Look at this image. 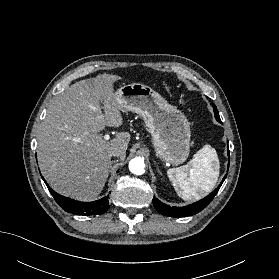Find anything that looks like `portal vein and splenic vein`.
Instances as JSON below:
<instances>
[{"label": "portal vein and splenic vein", "mask_w": 279, "mask_h": 279, "mask_svg": "<svg viewBox=\"0 0 279 279\" xmlns=\"http://www.w3.org/2000/svg\"><path fill=\"white\" fill-rule=\"evenodd\" d=\"M104 139L107 141V140L110 139V136H109L108 134H105V135H104Z\"/></svg>", "instance_id": "portal-vein-and-splenic-vein-1"}]
</instances>
